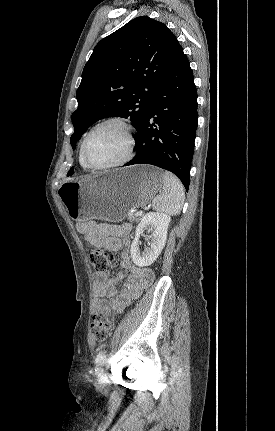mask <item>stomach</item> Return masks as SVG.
Segmentation results:
<instances>
[{
  "instance_id": "obj_1",
  "label": "stomach",
  "mask_w": 275,
  "mask_h": 431,
  "mask_svg": "<svg viewBox=\"0 0 275 431\" xmlns=\"http://www.w3.org/2000/svg\"><path fill=\"white\" fill-rule=\"evenodd\" d=\"M163 174L150 165H135L102 174L67 180L58 195L71 219L83 222L123 220L135 208L148 204L163 187Z\"/></svg>"
}]
</instances>
